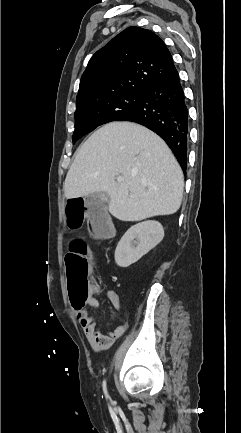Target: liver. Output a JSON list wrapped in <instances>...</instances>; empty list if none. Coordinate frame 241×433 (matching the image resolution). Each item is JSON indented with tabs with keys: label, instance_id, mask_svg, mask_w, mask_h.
I'll return each instance as SVG.
<instances>
[{
	"label": "liver",
	"instance_id": "1",
	"mask_svg": "<svg viewBox=\"0 0 241 433\" xmlns=\"http://www.w3.org/2000/svg\"><path fill=\"white\" fill-rule=\"evenodd\" d=\"M63 188L68 199L105 192L115 218L140 221L176 213L184 177L158 135L136 123L111 122L78 148Z\"/></svg>",
	"mask_w": 241,
	"mask_h": 433
}]
</instances>
